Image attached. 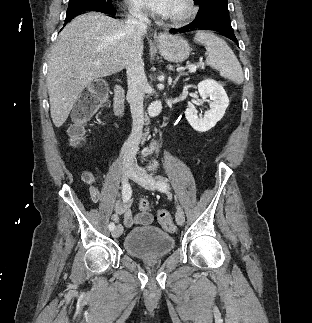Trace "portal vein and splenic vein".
<instances>
[{"mask_svg":"<svg viewBox=\"0 0 312 323\" xmlns=\"http://www.w3.org/2000/svg\"><path fill=\"white\" fill-rule=\"evenodd\" d=\"M94 66H102V64L101 62H95ZM196 68H204L203 62H198V66H191V68H189L190 74L191 72H196Z\"/></svg>","mask_w":312,"mask_h":323,"instance_id":"obj_1","label":"portal vein and splenic vein"}]
</instances>
